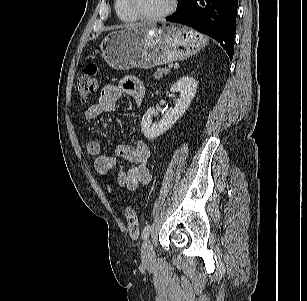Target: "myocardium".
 <instances>
[{
    "label": "myocardium",
    "mask_w": 307,
    "mask_h": 301,
    "mask_svg": "<svg viewBox=\"0 0 307 301\" xmlns=\"http://www.w3.org/2000/svg\"><path fill=\"white\" fill-rule=\"evenodd\" d=\"M128 6L130 7L132 13L135 15V17L139 20L143 21H158L162 20L171 14L175 12L178 5V0H171L169 7L164 10L163 12L157 13V14H144L142 13L138 6L135 3V0H127Z\"/></svg>",
    "instance_id": "f54148a6"
}]
</instances>
